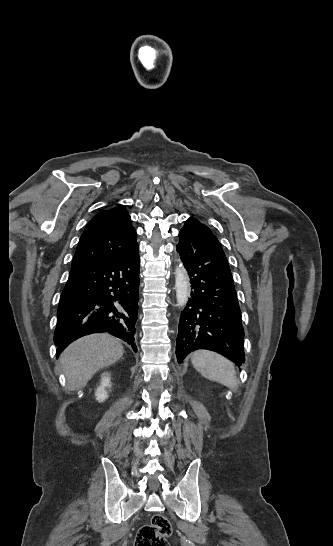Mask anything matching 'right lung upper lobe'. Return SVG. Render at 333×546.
<instances>
[{
	"label": "right lung upper lobe",
	"instance_id": "obj_1",
	"mask_svg": "<svg viewBox=\"0 0 333 546\" xmlns=\"http://www.w3.org/2000/svg\"><path fill=\"white\" fill-rule=\"evenodd\" d=\"M136 231L122 205L101 211L86 225L71 267L91 266L128 253L136 243Z\"/></svg>",
	"mask_w": 333,
	"mask_h": 546
}]
</instances>
